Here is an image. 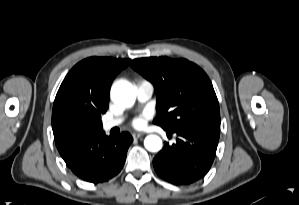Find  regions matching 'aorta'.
<instances>
[{
    "label": "aorta",
    "instance_id": "762f6f07",
    "mask_svg": "<svg viewBox=\"0 0 299 205\" xmlns=\"http://www.w3.org/2000/svg\"><path fill=\"white\" fill-rule=\"evenodd\" d=\"M111 98L121 106L130 107L136 99L135 89L127 81L117 82L111 88ZM144 146L150 152H158L162 148V140L157 135H149L144 140Z\"/></svg>",
    "mask_w": 299,
    "mask_h": 205
}]
</instances>
